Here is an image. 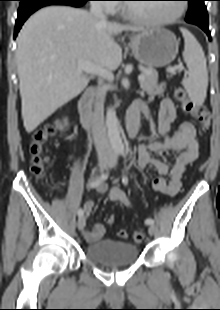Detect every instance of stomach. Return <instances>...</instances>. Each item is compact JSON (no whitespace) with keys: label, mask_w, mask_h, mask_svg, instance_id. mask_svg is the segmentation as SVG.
I'll use <instances>...</instances> for the list:
<instances>
[{"label":"stomach","mask_w":220,"mask_h":310,"mask_svg":"<svg viewBox=\"0 0 220 310\" xmlns=\"http://www.w3.org/2000/svg\"><path fill=\"white\" fill-rule=\"evenodd\" d=\"M134 57L149 68H160L170 64L178 54L176 36L163 28L142 31L130 39Z\"/></svg>","instance_id":"stomach-1"}]
</instances>
